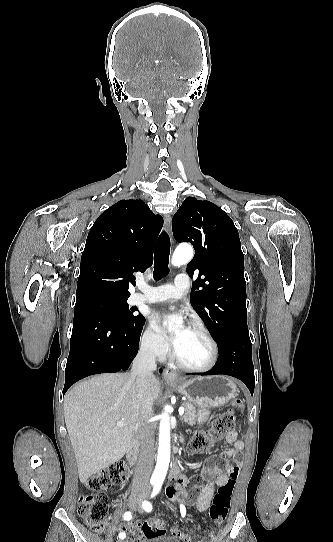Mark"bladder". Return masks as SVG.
<instances>
[{
	"label": "bladder",
	"instance_id": "1",
	"mask_svg": "<svg viewBox=\"0 0 333 542\" xmlns=\"http://www.w3.org/2000/svg\"><path fill=\"white\" fill-rule=\"evenodd\" d=\"M147 542H180L175 539L172 535H157L149 537Z\"/></svg>",
	"mask_w": 333,
	"mask_h": 542
}]
</instances>
